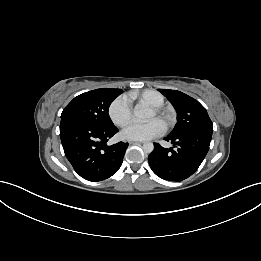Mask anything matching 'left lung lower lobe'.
<instances>
[{
  "instance_id": "1",
  "label": "left lung lower lobe",
  "mask_w": 261,
  "mask_h": 261,
  "mask_svg": "<svg viewBox=\"0 0 261 261\" xmlns=\"http://www.w3.org/2000/svg\"><path fill=\"white\" fill-rule=\"evenodd\" d=\"M212 137V130H193L168 135L164 140L174 148H163L154 143V150L148 156L152 171L160 178L182 181L191 176L205 158Z\"/></svg>"
}]
</instances>
